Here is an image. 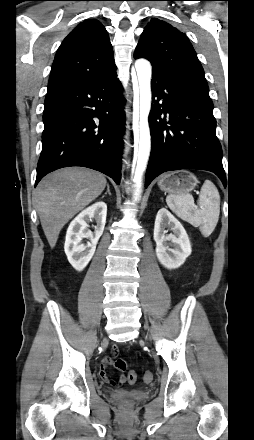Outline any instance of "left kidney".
Segmentation results:
<instances>
[{
  "instance_id": "5707ae66",
  "label": "left kidney",
  "mask_w": 254,
  "mask_h": 440,
  "mask_svg": "<svg viewBox=\"0 0 254 440\" xmlns=\"http://www.w3.org/2000/svg\"><path fill=\"white\" fill-rule=\"evenodd\" d=\"M167 227L173 233L165 235ZM153 238L156 256L167 269L180 267L191 254L190 240L184 227L166 208H161L156 215Z\"/></svg>"
}]
</instances>
